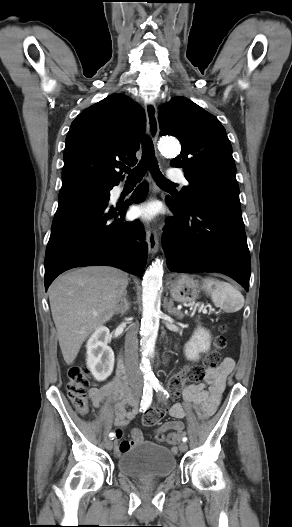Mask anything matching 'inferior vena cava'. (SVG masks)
Listing matches in <instances>:
<instances>
[{"mask_svg":"<svg viewBox=\"0 0 292 527\" xmlns=\"http://www.w3.org/2000/svg\"><path fill=\"white\" fill-rule=\"evenodd\" d=\"M125 365L131 387H141L143 376L138 366V339L134 328H130L125 337Z\"/></svg>","mask_w":292,"mask_h":527,"instance_id":"inferior-vena-cava-1","label":"inferior vena cava"}]
</instances>
